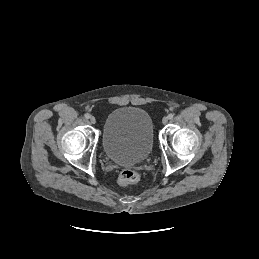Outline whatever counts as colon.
<instances>
[{
	"instance_id": "5ec220e1",
	"label": "colon",
	"mask_w": 259,
	"mask_h": 259,
	"mask_svg": "<svg viewBox=\"0 0 259 259\" xmlns=\"http://www.w3.org/2000/svg\"><path fill=\"white\" fill-rule=\"evenodd\" d=\"M140 180V174L134 170L126 169L119 175L118 182L121 186H128L137 183Z\"/></svg>"
}]
</instances>
